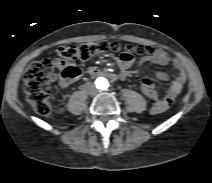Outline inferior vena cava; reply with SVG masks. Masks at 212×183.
<instances>
[{
  "label": "inferior vena cava",
  "instance_id": "obj_1",
  "mask_svg": "<svg viewBox=\"0 0 212 183\" xmlns=\"http://www.w3.org/2000/svg\"><path fill=\"white\" fill-rule=\"evenodd\" d=\"M84 87L89 95H96L98 93V89L91 82L86 83Z\"/></svg>",
  "mask_w": 212,
  "mask_h": 183
}]
</instances>
